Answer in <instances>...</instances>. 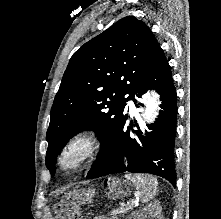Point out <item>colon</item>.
<instances>
[{"mask_svg":"<svg viewBox=\"0 0 221 219\" xmlns=\"http://www.w3.org/2000/svg\"><path fill=\"white\" fill-rule=\"evenodd\" d=\"M61 211L65 219H80L78 214L75 211L74 204H66L61 208Z\"/></svg>","mask_w":221,"mask_h":219,"instance_id":"colon-1","label":"colon"}]
</instances>
